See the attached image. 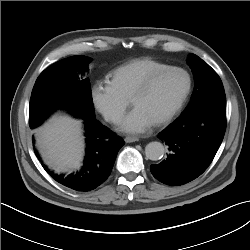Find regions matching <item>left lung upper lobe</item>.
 Listing matches in <instances>:
<instances>
[{
  "label": "left lung upper lobe",
  "instance_id": "5c2ea615",
  "mask_svg": "<svg viewBox=\"0 0 250 250\" xmlns=\"http://www.w3.org/2000/svg\"><path fill=\"white\" fill-rule=\"evenodd\" d=\"M189 64L194 75L195 86L191 102L183 113L189 112L215 96L225 94L221 79L206 62L191 54Z\"/></svg>",
  "mask_w": 250,
  "mask_h": 250
}]
</instances>
